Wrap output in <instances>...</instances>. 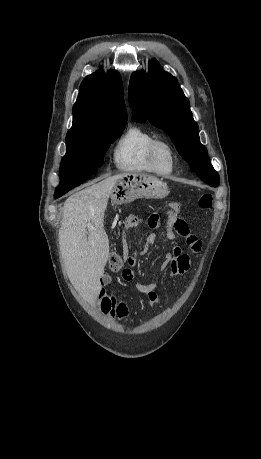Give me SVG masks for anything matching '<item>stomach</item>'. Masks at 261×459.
Segmentation results:
<instances>
[{
    "mask_svg": "<svg viewBox=\"0 0 261 459\" xmlns=\"http://www.w3.org/2000/svg\"><path fill=\"white\" fill-rule=\"evenodd\" d=\"M168 193L166 184L159 179L142 173H128L117 182L111 196L116 204H124L138 198L161 199Z\"/></svg>",
    "mask_w": 261,
    "mask_h": 459,
    "instance_id": "0dacf381",
    "label": "stomach"
}]
</instances>
